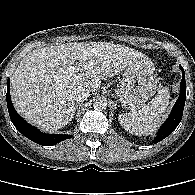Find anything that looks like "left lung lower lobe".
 <instances>
[{"instance_id": "0a47b994", "label": "left lung lower lobe", "mask_w": 195, "mask_h": 195, "mask_svg": "<svg viewBox=\"0 0 195 195\" xmlns=\"http://www.w3.org/2000/svg\"><path fill=\"white\" fill-rule=\"evenodd\" d=\"M180 69L182 71V80L180 83V95L171 111L170 116L159 129L157 136L154 139V143L160 142L164 138L169 136L175 130V128L178 126V124L182 119L185 100H186V83H185L184 69L181 66Z\"/></svg>"}]
</instances>
